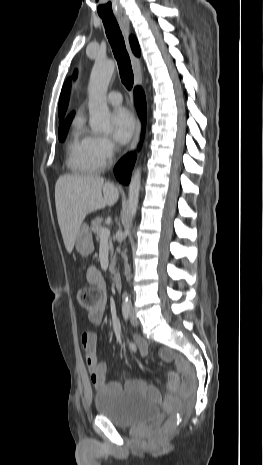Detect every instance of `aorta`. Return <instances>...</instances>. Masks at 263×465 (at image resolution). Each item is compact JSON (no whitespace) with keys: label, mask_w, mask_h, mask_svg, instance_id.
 <instances>
[{"label":"aorta","mask_w":263,"mask_h":465,"mask_svg":"<svg viewBox=\"0 0 263 465\" xmlns=\"http://www.w3.org/2000/svg\"><path fill=\"white\" fill-rule=\"evenodd\" d=\"M115 70L113 60H101L95 62L91 71L88 84L89 95V124L94 133H109L110 111L107 106L106 95L109 82ZM141 188V169L137 168L129 184L128 208L131 218H134L139 202V193Z\"/></svg>","instance_id":"762f6f07"}]
</instances>
